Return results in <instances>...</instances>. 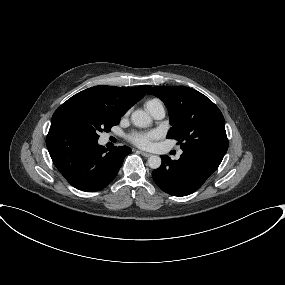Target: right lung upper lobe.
Returning <instances> with one entry per match:
<instances>
[{
	"label": "right lung upper lobe",
	"instance_id": "obj_1",
	"mask_svg": "<svg viewBox=\"0 0 285 285\" xmlns=\"http://www.w3.org/2000/svg\"><path fill=\"white\" fill-rule=\"evenodd\" d=\"M150 88L147 85L138 87L95 86L85 89L72 96L56 111L66 108L99 107L118 116H123L138 102ZM51 125H55L51 123Z\"/></svg>",
	"mask_w": 285,
	"mask_h": 285
}]
</instances>
